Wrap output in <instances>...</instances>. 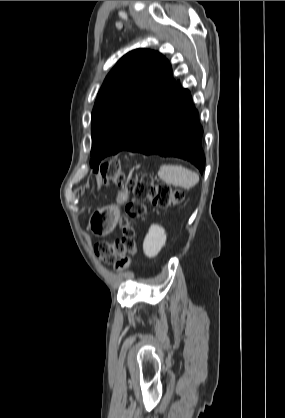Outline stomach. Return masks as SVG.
Wrapping results in <instances>:
<instances>
[{"mask_svg":"<svg viewBox=\"0 0 285 418\" xmlns=\"http://www.w3.org/2000/svg\"><path fill=\"white\" fill-rule=\"evenodd\" d=\"M127 199L128 192H121L118 195L117 203L120 205L126 202ZM119 213L118 205H111L99 209L93 214L91 221L89 222L90 229L97 236L100 234H102V236L108 234L115 227Z\"/></svg>","mask_w":285,"mask_h":418,"instance_id":"obj_1","label":"stomach"}]
</instances>
